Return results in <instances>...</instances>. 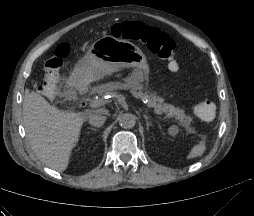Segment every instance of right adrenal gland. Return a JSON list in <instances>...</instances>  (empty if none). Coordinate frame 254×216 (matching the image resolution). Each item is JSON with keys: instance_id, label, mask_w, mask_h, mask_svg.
Masks as SVG:
<instances>
[{"instance_id": "obj_1", "label": "right adrenal gland", "mask_w": 254, "mask_h": 216, "mask_svg": "<svg viewBox=\"0 0 254 216\" xmlns=\"http://www.w3.org/2000/svg\"><path fill=\"white\" fill-rule=\"evenodd\" d=\"M92 131H97V129L96 128H90Z\"/></svg>"}]
</instances>
